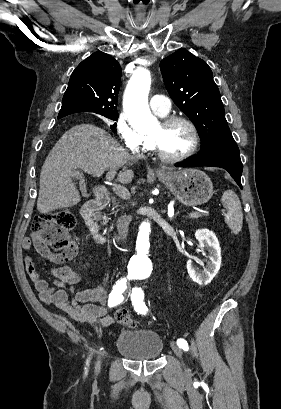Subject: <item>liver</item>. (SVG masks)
<instances>
[{
    "mask_svg": "<svg viewBox=\"0 0 281 409\" xmlns=\"http://www.w3.org/2000/svg\"><path fill=\"white\" fill-rule=\"evenodd\" d=\"M136 156L121 150L116 138L95 124H76L50 150L40 172L37 211L50 213L55 209L78 205L81 196L72 180L73 170L82 168L92 176H102L104 170H117L126 162L133 164ZM120 170L122 184L131 182L134 170Z\"/></svg>",
    "mask_w": 281,
    "mask_h": 409,
    "instance_id": "6515ba94",
    "label": "liver"
}]
</instances>
